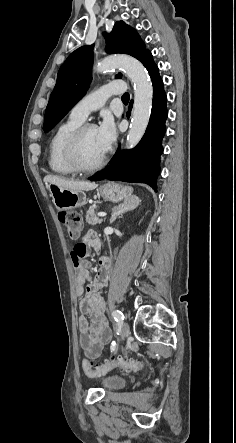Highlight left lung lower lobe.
<instances>
[{"label": "left lung lower lobe", "mask_w": 236, "mask_h": 443, "mask_svg": "<svg viewBox=\"0 0 236 443\" xmlns=\"http://www.w3.org/2000/svg\"><path fill=\"white\" fill-rule=\"evenodd\" d=\"M142 63L148 70L153 84L152 111L146 132L134 149L130 151H120L119 149L108 167L89 178L92 181L107 178L111 181L140 182L157 190L156 179L160 171L159 161L163 151L161 140L165 134L167 98L158 67L154 63L150 51ZM131 108L132 101L127 112L128 118Z\"/></svg>", "instance_id": "1"}]
</instances>
